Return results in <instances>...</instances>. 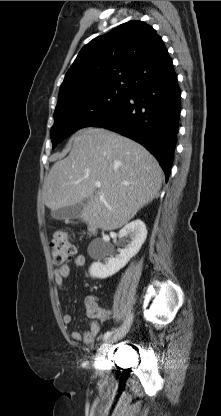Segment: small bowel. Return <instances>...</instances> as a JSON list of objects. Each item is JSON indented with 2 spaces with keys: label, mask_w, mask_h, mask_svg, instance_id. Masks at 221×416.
I'll use <instances>...</instances> for the list:
<instances>
[{
  "label": "small bowel",
  "mask_w": 221,
  "mask_h": 416,
  "mask_svg": "<svg viewBox=\"0 0 221 416\" xmlns=\"http://www.w3.org/2000/svg\"><path fill=\"white\" fill-rule=\"evenodd\" d=\"M85 264V257L83 255H76L72 260V265L76 268L83 267ZM70 266L67 263L60 264L54 270L55 284L62 288L65 278L69 275ZM86 315L92 321L89 325V329L83 332L78 330H72L70 336L74 341L82 342L85 345H92L94 340L99 334L100 323L110 319L111 312L98 306L93 298H88L85 302ZM62 321L65 325H68L72 321L70 313H63Z\"/></svg>",
  "instance_id": "obj_1"
}]
</instances>
